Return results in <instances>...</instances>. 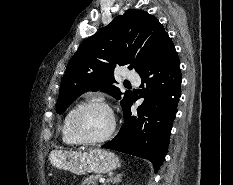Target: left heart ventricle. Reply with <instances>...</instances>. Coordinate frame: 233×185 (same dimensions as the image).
I'll use <instances>...</instances> for the list:
<instances>
[{
    "instance_id": "b2bd125f",
    "label": "left heart ventricle",
    "mask_w": 233,
    "mask_h": 185,
    "mask_svg": "<svg viewBox=\"0 0 233 185\" xmlns=\"http://www.w3.org/2000/svg\"><path fill=\"white\" fill-rule=\"evenodd\" d=\"M112 118L104 108H92L85 112L79 120V129L87 138L104 136L111 128Z\"/></svg>"
}]
</instances>
